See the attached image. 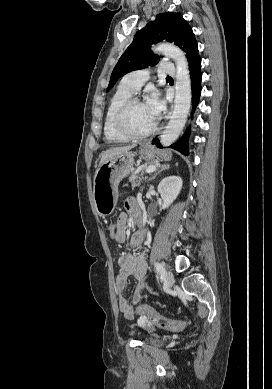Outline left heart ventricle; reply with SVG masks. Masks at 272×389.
<instances>
[{
    "instance_id": "1",
    "label": "left heart ventricle",
    "mask_w": 272,
    "mask_h": 389,
    "mask_svg": "<svg viewBox=\"0 0 272 389\" xmlns=\"http://www.w3.org/2000/svg\"><path fill=\"white\" fill-rule=\"evenodd\" d=\"M154 122L155 120L144 103L135 104L131 108L128 115V125L133 132H146L153 126Z\"/></svg>"
}]
</instances>
